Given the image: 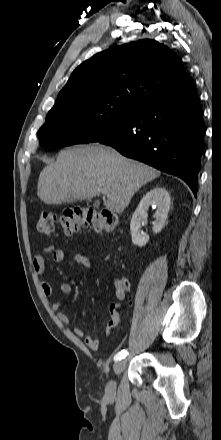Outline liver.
Wrapping results in <instances>:
<instances>
[{
	"label": "liver",
	"instance_id": "obj_1",
	"mask_svg": "<svg viewBox=\"0 0 221 440\" xmlns=\"http://www.w3.org/2000/svg\"><path fill=\"white\" fill-rule=\"evenodd\" d=\"M159 175L160 171L127 159L111 147L78 146L61 151L41 171L37 195L46 204L59 205L106 191L104 206L122 213L135 192Z\"/></svg>",
	"mask_w": 221,
	"mask_h": 440
}]
</instances>
